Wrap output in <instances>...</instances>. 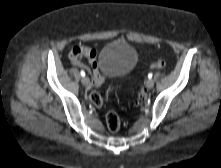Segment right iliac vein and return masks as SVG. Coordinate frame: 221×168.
I'll use <instances>...</instances> for the list:
<instances>
[{
    "label": "right iliac vein",
    "mask_w": 221,
    "mask_h": 168,
    "mask_svg": "<svg viewBox=\"0 0 221 168\" xmlns=\"http://www.w3.org/2000/svg\"><path fill=\"white\" fill-rule=\"evenodd\" d=\"M81 82H82V84L84 85V86H89L90 85V80H89V78L88 77H83L82 79H81Z\"/></svg>",
    "instance_id": "right-iliac-vein-1"
}]
</instances>
